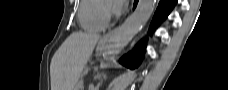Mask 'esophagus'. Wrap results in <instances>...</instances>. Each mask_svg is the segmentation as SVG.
<instances>
[{
  "label": "esophagus",
  "instance_id": "34e87169",
  "mask_svg": "<svg viewBox=\"0 0 228 90\" xmlns=\"http://www.w3.org/2000/svg\"><path fill=\"white\" fill-rule=\"evenodd\" d=\"M117 29H114L112 31H109L108 33H106L102 39H101V43H105L115 32H116Z\"/></svg>",
  "mask_w": 228,
  "mask_h": 90
}]
</instances>
